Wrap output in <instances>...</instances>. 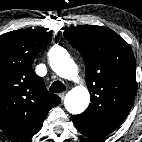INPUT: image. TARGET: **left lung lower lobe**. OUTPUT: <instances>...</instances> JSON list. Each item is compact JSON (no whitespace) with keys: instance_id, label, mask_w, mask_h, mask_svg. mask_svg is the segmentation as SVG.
<instances>
[{"instance_id":"left-lung-lower-lobe-1","label":"left lung lower lobe","mask_w":142,"mask_h":142,"mask_svg":"<svg viewBox=\"0 0 142 142\" xmlns=\"http://www.w3.org/2000/svg\"><path fill=\"white\" fill-rule=\"evenodd\" d=\"M75 126H76L77 130H78L81 134L85 135L86 137H88V138H90V139H97V138H95L93 135H91L90 133L86 132L84 129L78 127L77 125H75Z\"/></svg>"}]
</instances>
